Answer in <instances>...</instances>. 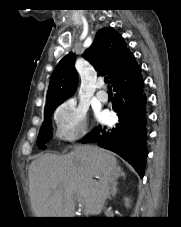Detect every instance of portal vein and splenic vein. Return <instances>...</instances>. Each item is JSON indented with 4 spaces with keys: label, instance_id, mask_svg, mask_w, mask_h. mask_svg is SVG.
<instances>
[{
    "label": "portal vein and splenic vein",
    "instance_id": "obj_1",
    "mask_svg": "<svg viewBox=\"0 0 181 227\" xmlns=\"http://www.w3.org/2000/svg\"><path fill=\"white\" fill-rule=\"evenodd\" d=\"M80 203H83L82 200H79Z\"/></svg>",
    "mask_w": 181,
    "mask_h": 227
}]
</instances>
